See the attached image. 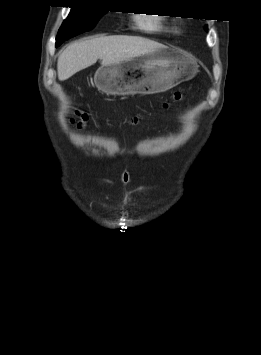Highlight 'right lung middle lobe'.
Returning a JSON list of instances; mask_svg holds the SVG:
<instances>
[{
	"label": "right lung middle lobe",
	"instance_id": "right-lung-middle-lobe-1",
	"mask_svg": "<svg viewBox=\"0 0 261 355\" xmlns=\"http://www.w3.org/2000/svg\"><path fill=\"white\" fill-rule=\"evenodd\" d=\"M104 13H106V11L101 9H89L80 6L71 8L69 16L59 29L56 40H67L80 33L91 30Z\"/></svg>",
	"mask_w": 261,
	"mask_h": 355
}]
</instances>
